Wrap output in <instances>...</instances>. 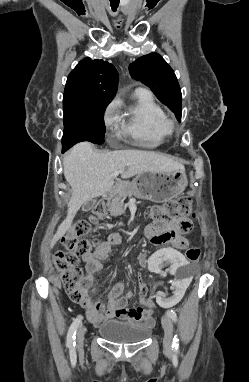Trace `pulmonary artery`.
<instances>
[{"label":"pulmonary artery","instance_id":"obj_1","mask_svg":"<svg viewBox=\"0 0 249 382\" xmlns=\"http://www.w3.org/2000/svg\"><path fill=\"white\" fill-rule=\"evenodd\" d=\"M140 90H146V89H144V88H139Z\"/></svg>","mask_w":249,"mask_h":382}]
</instances>
